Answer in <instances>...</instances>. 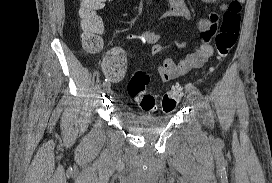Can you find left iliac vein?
Returning a JSON list of instances; mask_svg holds the SVG:
<instances>
[{
    "instance_id": "obj_1",
    "label": "left iliac vein",
    "mask_w": 272,
    "mask_h": 183,
    "mask_svg": "<svg viewBox=\"0 0 272 183\" xmlns=\"http://www.w3.org/2000/svg\"><path fill=\"white\" fill-rule=\"evenodd\" d=\"M187 99L189 100V102H190L191 104H194V105L198 104V99H197V97L194 96L193 94H189V95L187 96Z\"/></svg>"
}]
</instances>
